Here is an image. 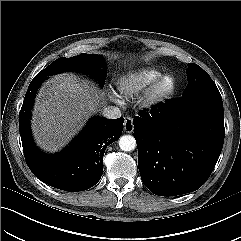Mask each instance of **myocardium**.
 Returning <instances> with one entry per match:
<instances>
[{
	"instance_id": "myocardium-1",
	"label": "myocardium",
	"mask_w": 241,
	"mask_h": 241,
	"mask_svg": "<svg viewBox=\"0 0 241 241\" xmlns=\"http://www.w3.org/2000/svg\"><path fill=\"white\" fill-rule=\"evenodd\" d=\"M166 83H168V85L164 87ZM175 91V78L170 74H163L148 87L144 94L142 104L148 109L157 108L170 100Z\"/></svg>"
}]
</instances>
